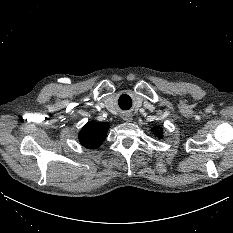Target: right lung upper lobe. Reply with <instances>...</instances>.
Segmentation results:
<instances>
[{
  "label": "right lung upper lobe",
  "mask_w": 233,
  "mask_h": 233,
  "mask_svg": "<svg viewBox=\"0 0 233 233\" xmlns=\"http://www.w3.org/2000/svg\"><path fill=\"white\" fill-rule=\"evenodd\" d=\"M108 128L107 123L89 122L81 130L79 140L86 148H98L105 140Z\"/></svg>",
  "instance_id": "right-lung-upper-lobe-1"
}]
</instances>
